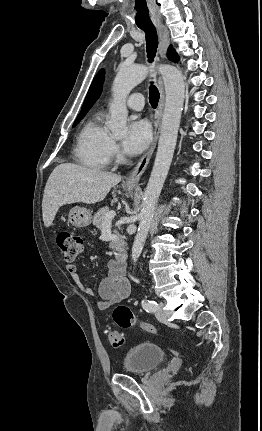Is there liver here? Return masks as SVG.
Instances as JSON below:
<instances>
[{
  "instance_id": "6515ba94",
  "label": "liver",
  "mask_w": 262,
  "mask_h": 431,
  "mask_svg": "<svg viewBox=\"0 0 262 431\" xmlns=\"http://www.w3.org/2000/svg\"><path fill=\"white\" fill-rule=\"evenodd\" d=\"M120 181V175L73 163L56 166L48 178L43 194L42 214L45 227L51 226L61 206L100 202Z\"/></svg>"
}]
</instances>
